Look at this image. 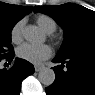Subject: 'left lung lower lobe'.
I'll return each instance as SVG.
<instances>
[{
	"mask_svg": "<svg viewBox=\"0 0 95 95\" xmlns=\"http://www.w3.org/2000/svg\"><path fill=\"white\" fill-rule=\"evenodd\" d=\"M53 62L61 65L53 68L56 78L45 89L47 95H95V53L57 56Z\"/></svg>",
	"mask_w": 95,
	"mask_h": 95,
	"instance_id": "obj_1",
	"label": "left lung lower lobe"
}]
</instances>
